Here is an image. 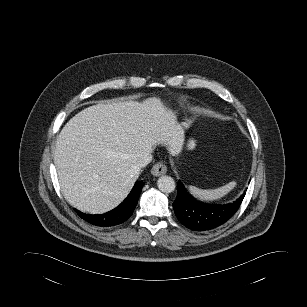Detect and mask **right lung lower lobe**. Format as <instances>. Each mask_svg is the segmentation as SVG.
<instances>
[{
    "label": "right lung lower lobe",
    "mask_w": 307,
    "mask_h": 307,
    "mask_svg": "<svg viewBox=\"0 0 307 307\" xmlns=\"http://www.w3.org/2000/svg\"><path fill=\"white\" fill-rule=\"evenodd\" d=\"M142 187L143 181H137L128 197L118 207L105 214L89 215L76 209L75 211L83 220L97 227H110L121 224L132 215Z\"/></svg>",
    "instance_id": "1"
}]
</instances>
